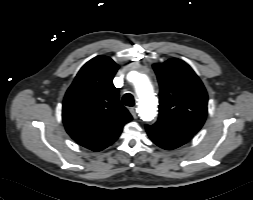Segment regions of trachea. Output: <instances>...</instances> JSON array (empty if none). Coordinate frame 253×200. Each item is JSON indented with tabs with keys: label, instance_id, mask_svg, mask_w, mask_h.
Listing matches in <instances>:
<instances>
[{
	"label": "trachea",
	"instance_id": "1",
	"mask_svg": "<svg viewBox=\"0 0 253 200\" xmlns=\"http://www.w3.org/2000/svg\"><path fill=\"white\" fill-rule=\"evenodd\" d=\"M122 103L125 105V106H129V107H132L134 105V97L132 94L130 93H126L123 98H122Z\"/></svg>",
	"mask_w": 253,
	"mask_h": 200
}]
</instances>
